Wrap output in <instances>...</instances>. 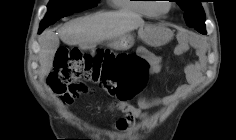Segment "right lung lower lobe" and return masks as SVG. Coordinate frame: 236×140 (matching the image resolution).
<instances>
[{
  "label": "right lung lower lobe",
  "instance_id": "obj_1",
  "mask_svg": "<svg viewBox=\"0 0 236 140\" xmlns=\"http://www.w3.org/2000/svg\"><path fill=\"white\" fill-rule=\"evenodd\" d=\"M43 30H44V29H42V28H41V29H39V33H41Z\"/></svg>",
  "mask_w": 236,
  "mask_h": 140
}]
</instances>
